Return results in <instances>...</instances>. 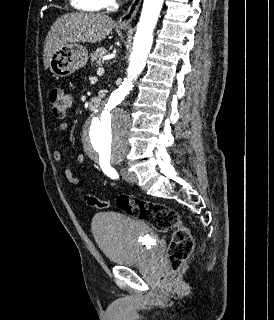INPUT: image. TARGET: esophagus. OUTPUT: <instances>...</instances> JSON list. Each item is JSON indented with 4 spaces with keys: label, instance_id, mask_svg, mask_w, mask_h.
Here are the masks:
<instances>
[{
    "label": "esophagus",
    "instance_id": "34e87169",
    "mask_svg": "<svg viewBox=\"0 0 274 320\" xmlns=\"http://www.w3.org/2000/svg\"><path fill=\"white\" fill-rule=\"evenodd\" d=\"M142 0H133L128 10L122 15L119 20V26H127L131 24L132 20L135 18Z\"/></svg>",
    "mask_w": 274,
    "mask_h": 320
}]
</instances>
